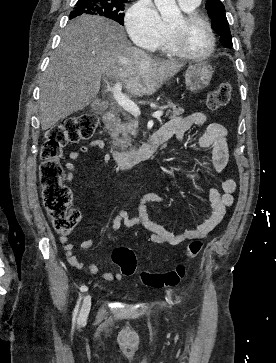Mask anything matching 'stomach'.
<instances>
[{
  "mask_svg": "<svg viewBox=\"0 0 276 363\" xmlns=\"http://www.w3.org/2000/svg\"><path fill=\"white\" fill-rule=\"evenodd\" d=\"M213 69L206 63L189 65L185 73V84L192 92L201 91L211 81Z\"/></svg>",
  "mask_w": 276,
  "mask_h": 363,
  "instance_id": "stomach-1",
  "label": "stomach"
}]
</instances>
